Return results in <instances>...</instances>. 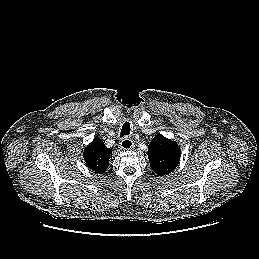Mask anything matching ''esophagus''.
I'll list each match as a JSON object with an SVG mask.
<instances>
[{"mask_svg":"<svg viewBox=\"0 0 259 259\" xmlns=\"http://www.w3.org/2000/svg\"><path fill=\"white\" fill-rule=\"evenodd\" d=\"M120 147L123 150H132L134 148V143L131 139L125 138L121 141Z\"/></svg>","mask_w":259,"mask_h":259,"instance_id":"esophagus-1","label":"esophagus"}]
</instances>
